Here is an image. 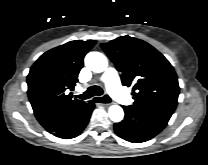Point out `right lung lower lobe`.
Here are the masks:
<instances>
[{
    "instance_id": "98d812e1",
    "label": "right lung lower lobe",
    "mask_w": 208,
    "mask_h": 165,
    "mask_svg": "<svg viewBox=\"0 0 208 165\" xmlns=\"http://www.w3.org/2000/svg\"><path fill=\"white\" fill-rule=\"evenodd\" d=\"M94 106H95L94 102L91 101L88 104L86 110L78 118H76L71 124L55 132H52V134L63 139H71L77 137L82 133V131L88 124Z\"/></svg>"
}]
</instances>
